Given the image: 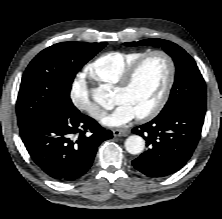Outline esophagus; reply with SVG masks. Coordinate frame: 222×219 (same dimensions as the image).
Listing matches in <instances>:
<instances>
[{
  "label": "esophagus",
  "mask_w": 222,
  "mask_h": 219,
  "mask_svg": "<svg viewBox=\"0 0 222 219\" xmlns=\"http://www.w3.org/2000/svg\"><path fill=\"white\" fill-rule=\"evenodd\" d=\"M128 133H129V130H127V129H114L113 130V135L115 137L126 136Z\"/></svg>",
  "instance_id": "esophagus-1"
}]
</instances>
